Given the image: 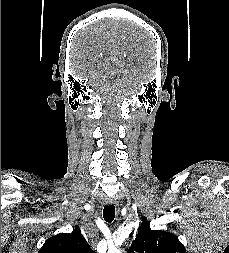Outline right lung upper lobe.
Instances as JSON below:
<instances>
[{
    "instance_id": "cb5924a9",
    "label": "right lung upper lobe",
    "mask_w": 229,
    "mask_h": 253,
    "mask_svg": "<svg viewBox=\"0 0 229 253\" xmlns=\"http://www.w3.org/2000/svg\"><path fill=\"white\" fill-rule=\"evenodd\" d=\"M38 253H96L91 250L80 228L76 226L71 234L60 233L45 241Z\"/></svg>"
}]
</instances>
